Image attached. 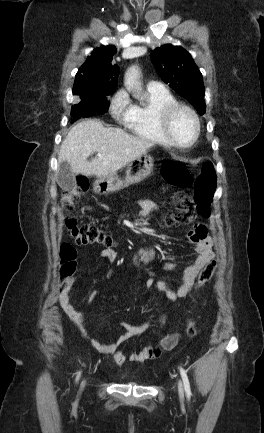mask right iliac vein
Listing matches in <instances>:
<instances>
[{
  "mask_svg": "<svg viewBox=\"0 0 264 433\" xmlns=\"http://www.w3.org/2000/svg\"><path fill=\"white\" fill-rule=\"evenodd\" d=\"M85 383H86L85 381L82 382V384H81V390L84 389V387H85Z\"/></svg>",
  "mask_w": 264,
  "mask_h": 433,
  "instance_id": "right-iliac-vein-1",
  "label": "right iliac vein"
}]
</instances>
